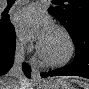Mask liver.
I'll return each mask as SVG.
<instances>
[{
  "label": "liver",
  "mask_w": 89,
  "mask_h": 89,
  "mask_svg": "<svg viewBox=\"0 0 89 89\" xmlns=\"http://www.w3.org/2000/svg\"><path fill=\"white\" fill-rule=\"evenodd\" d=\"M8 80L12 81V83H14V87H26V84H27L26 80L24 78H21V79L18 78V79H15V80L8 79ZM54 80H57L58 82H62L63 81L62 79L50 78V79L44 81L42 83V85L48 83L49 81H54ZM5 82H7L6 79H1V87H2L1 89H7V88H5L6 87L5 86ZM15 89H19V88H15Z\"/></svg>",
  "instance_id": "6515ba94"
}]
</instances>
